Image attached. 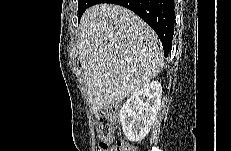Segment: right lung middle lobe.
I'll list each match as a JSON object with an SVG mask.
<instances>
[{"instance_id":"dd1d6c3e","label":"right lung middle lobe","mask_w":231,"mask_h":151,"mask_svg":"<svg viewBox=\"0 0 231 151\" xmlns=\"http://www.w3.org/2000/svg\"><path fill=\"white\" fill-rule=\"evenodd\" d=\"M90 2L91 0H78L79 19L85 10L91 6Z\"/></svg>"}]
</instances>
